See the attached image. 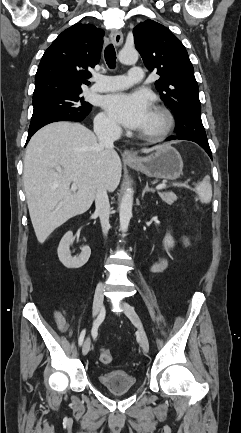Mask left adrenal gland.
<instances>
[{"label": "left adrenal gland", "instance_id": "obj_1", "mask_svg": "<svg viewBox=\"0 0 241 433\" xmlns=\"http://www.w3.org/2000/svg\"><path fill=\"white\" fill-rule=\"evenodd\" d=\"M146 192H154V189L153 188H150L149 186H148V182L146 183V186H145V188H144V190H143V192H142V198L144 197V195H145V193Z\"/></svg>", "mask_w": 241, "mask_h": 433}]
</instances>
